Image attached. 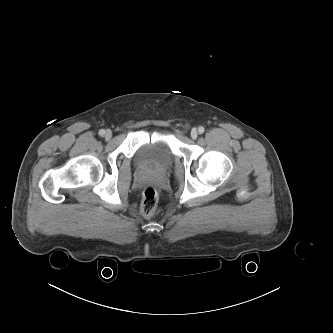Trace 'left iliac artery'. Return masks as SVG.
<instances>
[{"label": "left iliac artery", "instance_id": "obj_1", "mask_svg": "<svg viewBox=\"0 0 333 333\" xmlns=\"http://www.w3.org/2000/svg\"><path fill=\"white\" fill-rule=\"evenodd\" d=\"M204 131H205L204 127L200 126V127L198 128V132H199V134L204 133Z\"/></svg>", "mask_w": 333, "mask_h": 333}]
</instances>
